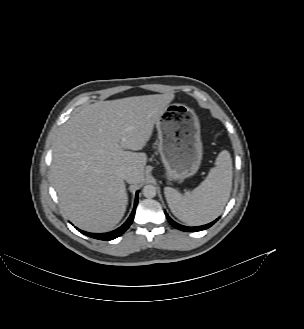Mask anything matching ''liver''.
<instances>
[{
  "label": "liver",
  "instance_id": "liver-1",
  "mask_svg": "<svg viewBox=\"0 0 304 329\" xmlns=\"http://www.w3.org/2000/svg\"><path fill=\"white\" fill-rule=\"evenodd\" d=\"M174 94L99 101L82 108L59 129L53 144L51 173L61 209L79 228L107 232L124 216L129 184L144 179L150 140Z\"/></svg>",
  "mask_w": 304,
  "mask_h": 329
}]
</instances>
